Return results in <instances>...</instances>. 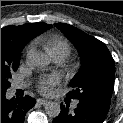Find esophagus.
Here are the masks:
<instances>
[{"label": "esophagus", "mask_w": 123, "mask_h": 123, "mask_svg": "<svg viewBox=\"0 0 123 123\" xmlns=\"http://www.w3.org/2000/svg\"><path fill=\"white\" fill-rule=\"evenodd\" d=\"M37 102H38L39 104H41V105H46L49 101H47V100H45V99L39 98V99H37Z\"/></svg>", "instance_id": "1"}]
</instances>
